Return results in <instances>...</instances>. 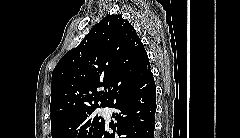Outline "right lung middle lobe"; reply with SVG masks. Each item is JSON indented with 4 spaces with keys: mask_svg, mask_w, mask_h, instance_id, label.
Masks as SVG:
<instances>
[{
    "mask_svg": "<svg viewBox=\"0 0 240 138\" xmlns=\"http://www.w3.org/2000/svg\"><path fill=\"white\" fill-rule=\"evenodd\" d=\"M88 108L81 113L51 124L52 138H94L105 121Z\"/></svg>",
    "mask_w": 240,
    "mask_h": 138,
    "instance_id": "1",
    "label": "right lung middle lobe"
}]
</instances>
